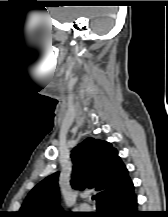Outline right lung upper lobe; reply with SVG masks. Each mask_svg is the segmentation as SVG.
<instances>
[{"mask_svg": "<svg viewBox=\"0 0 168 217\" xmlns=\"http://www.w3.org/2000/svg\"><path fill=\"white\" fill-rule=\"evenodd\" d=\"M71 186L76 190L92 188L97 192V208L125 193L133 183L118 152L106 141L87 138L71 153ZM59 172L45 178L27 195L18 217H55L74 215L58 206Z\"/></svg>", "mask_w": 168, "mask_h": 217, "instance_id": "obj_1", "label": "right lung upper lobe"}]
</instances>
